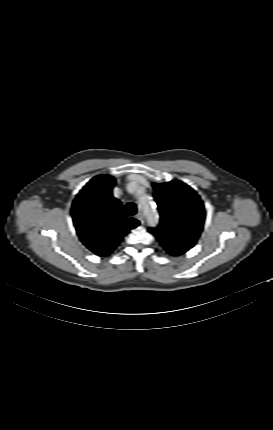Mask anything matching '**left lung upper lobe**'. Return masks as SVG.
Returning a JSON list of instances; mask_svg holds the SVG:
<instances>
[{"instance_id": "5c2ea615", "label": "left lung upper lobe", "mask_w": 273, "mask_h": 430, "mask_svg": "<svg viewBox=\"0 0 273 430\" xmlns=\"http://www.w3.org/2000/svg\"><path fill=\"white\" fill-rule=\"evenodd\" d=\"M160 224L149 228L162 247L173 256L192 248L203 229L205 209L198 194L187 184L173 180L153 183Z\"/></svg>"}]
</instances>
